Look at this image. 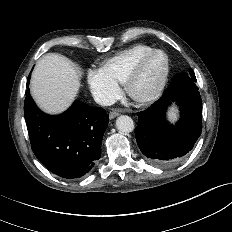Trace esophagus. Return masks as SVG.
<instances>
[{"label": "esophagus", "instance_id": "obj_1", "mask_svg": "<svg viewBox=\"0 0 232 232\" xmlns=\"http://www.w3.org/2000/svg\"><path fill=\"white\" fill-rule=\"evenodd\" d=\"M119 114H120L119 111L113 110L109 113V117H110V119H113V118L117 117Z\"/></svg>", "mask_w": 232, "mask_h": 232}]
</instances>
